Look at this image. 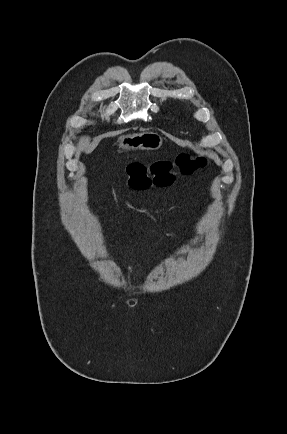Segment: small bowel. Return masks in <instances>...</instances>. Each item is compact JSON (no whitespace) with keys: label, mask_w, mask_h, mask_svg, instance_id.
I'll use <instances>...</instances> for the list:
<instances>
[{"label":"small bowel","mask_w":287,"mask_h":434,"mask_svg":"<svg viewBox=\"0 0 287 434\" xmlns=\"http://www.w3.org/2000/svg\"><path fill=\"white\" fill-rule=\"evenodd\" d=\"M127 275H128V276L130 275V271H129V270H127Z\"/></svg>","instance_id":"obj_1"}]
</instances>
